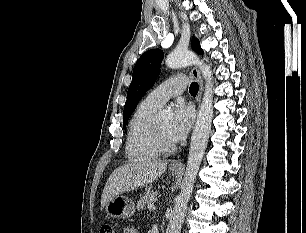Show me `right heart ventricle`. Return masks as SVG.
Returning <instances> with one entry per match:
<instances>
[{
  "mask_svg": "<svg viewBox=\"0 0 306 233\" xmlns=\"http://www.w3.org/2000/svg\"><path fill=\"white\" fill-rule=\"evenodd\" d=\"M158 108L143 100L132 115L127 132L125 153L131 161H146L159 155L151 129Z\"/></svg>",
  "mask_w": 306,
  "mask_h": 233,
  "instance_id": "right-heart-ventricle-1",
  "label": "right heart ventricle"
}]
</instances>
